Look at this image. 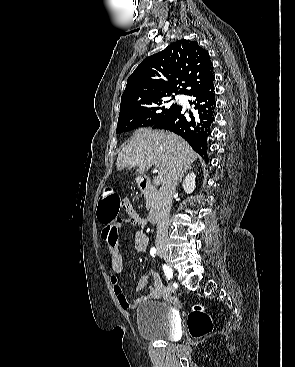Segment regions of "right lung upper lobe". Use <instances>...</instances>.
I'll use <instances>...</instances> for the list:
<instances>
[{"label":"right lung upper lobe","instance_id":"1","mask_svg":"<svg viewBox=\"0 0 295 367\" xmlns=\"http://www.w3.org/2000/svg\"><path fill=\"white\" fill-rule=\"evenodd\" d=\"M213 78L208 52L195 41H177L147 57L129 76L120 113L128 103L172 93L186 95Z\"/></svg>","mask_w":295,"mask_h":367}]
</instances>
